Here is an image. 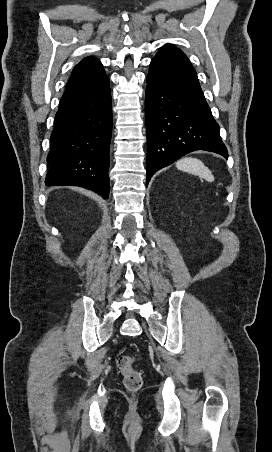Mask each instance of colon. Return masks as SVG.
I'll use <instances>...</instances> for the list:
<instances>
[{"instance_id": "colon-1", "label": "colon", "mask_w": 272, "mask_h": 452, "mask_svg": "<svg viewBox=\"0 0 272 452\" xmlns=\"http://www.w3.org/2000/svg\"><path fill=\"white\" fill-rule=\"evenodd\" d=\"M135 358L131 355H122L118 358L117 365L123 376V383L127 391L135 393L143 384L141 373L134 368Z\"/></svg>"}]
</instances>
